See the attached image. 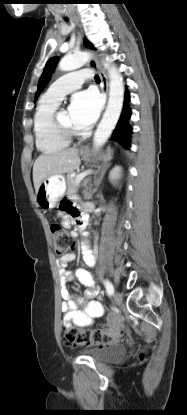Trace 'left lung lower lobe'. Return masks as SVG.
Returning <instances> with one entry per match:
<instances>
[{
    "label": "left lung lower lobe",
    "mask_w": 187,
    "mask_h": 415,
    "mask_svg": "<svg viewBox=\"0 0 187 415\" xmlns=\"http://www.w3.org/2000/svg\"><path fill=\"white\" fill-rule=\"evenodd\" d=\"M129 101H130V94L126 90L122 113L110 138V140H114L122 144L126 149L130 148L129 136L132 132V128L129 126V123H128V119L131 116V110L129 108Z\"/></svg>",
    "instance_id": "left-lung-lower-lobe-1"
}]
</instances>
